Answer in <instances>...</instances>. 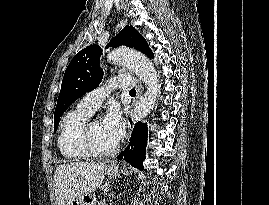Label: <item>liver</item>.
Here are the masks:
<instances>
[{
	"instance_id": "1",
	"label": "liver",
	"mask_w": 269,
	"mask_h": 205,
	"mask_svg": "<svg viewBox=\"0 0 269 205\" xmlns=\"http://www.w3.org/2000/svg\"><path fill=\"white\" fill-rule=\"evenodd\" d=\"M105 167V162L57 166L53 181L57 205H71L78 196L94 192L103 182Z\"/></svg>"
}]
</instances>
